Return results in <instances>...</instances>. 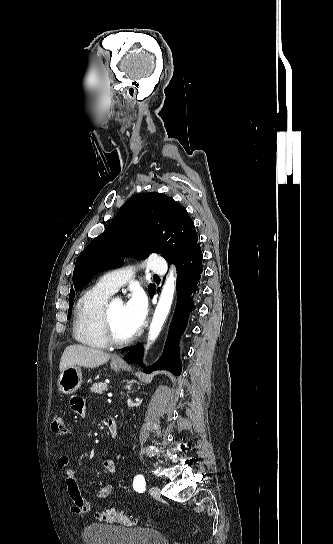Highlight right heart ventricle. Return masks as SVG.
<instances>
[{
    "instance_id": "e07e8e85",
    "label": "right heart ventricle",
    "mask_w": 333,
    "mask_h": 544,
    "mask_svg": "<svg viewBox=\"0 0 333 544\" xmlns=\"http://www.w3.org/2000/svg\"><path fill=\"white\" fill-rule=\"evenodd\" d=\"M113 294L100 282L83 292L75 306L73 322L74 338L93 348H105L109 344L102 329V312Z\"/></svg>"
}]
</instances>
